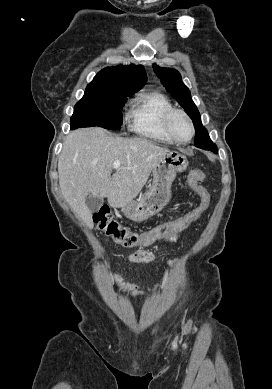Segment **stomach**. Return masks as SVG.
Returning a JSON list of instances; mask_svg holds the SVG:
<instances>
[{
	"label": "stomach",
	"instance_id": "stomach-1",
	"mask_svg": "<svg viewBox=\"0 0 272 389\" xmlns=\"http://www.w3.org/2000/svg\"><path fill=\"white\" fill-rule=\"evenodd\" d=\"M188 167L185 155L169 151L153 169V182L137 201L132 200L121 207L124 215L133 221L147 220L160 212L171 199V185L177 173Z\"/></svg>",
	"mask_w": 272,
	"mask_h": 389
}]
</instances>
